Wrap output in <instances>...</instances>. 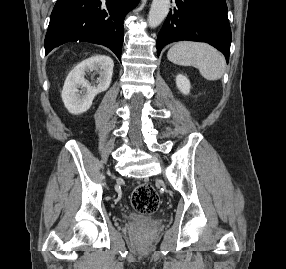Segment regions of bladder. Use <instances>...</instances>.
Masks as SVG:
<instances>
[{
  "label": "bladder",
  "mask_w": 286,
  "mask_h": 269,
  "mask_svg": "<svg viewBox=\"0 0 286 269\" xmlns=\"http://www.w3.org/2000/svg\"><path fill=\"white\" fill-rule=\"evenodd\" d=\"M127 218L130 220H149L150 217L148 215L145 214H141V213H134V212H129L127 214Z\"/></svg>",
  "instance_id": "bladder-1"
}]
</instances>
